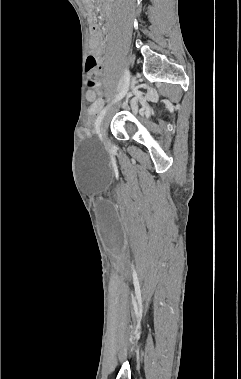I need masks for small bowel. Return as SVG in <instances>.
<instances>
[{
  "instance_id": "c3829d8e",
  "label": "small bowel",
  "mask_w": 241,
  "mask_h": 379,
  "mask_svg": "<svg viewBox=\"0 0 241 379\" xmlns=\"http://www.w3.org/2000/svg\"><path fill=\"white\" fill-rule=\"evenodd\" d=\"M103 49L104 41L102 35L100 34L98 28L94 26L91 39V50L96 60H100ZM97 96L98 90H89L87 92V99L89 101L95 102L97 106H100L101 100H98Z\"/></svg>"
}]
</instances>
